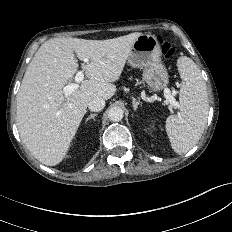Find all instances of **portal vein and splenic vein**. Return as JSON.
I'll return each mask as SVG.
<instances>
[{
    "instance_id": "1",
    "label": "portal vein and splenic vein",
    "mask_w": 232,
    "mask_h": 232,
    "mask_svg": "<svg viewBox=\"0 0 232 232\" xmlns=\"http://www.w3.org/2000/svg\"><path fill=\"white\" fill-rule=\"evenodd\" d=\"M84 62H88V59H84ZM84 79V72L83 70H79L75 75V82L76 83H69L68 85L63 87V92L65 97H68L72 92L79 88V83L82 82ZM164 96L166 100L173 106L179 107L178 101L173 97L169 89H165Z\"/></svg>"
}]
</instances>
